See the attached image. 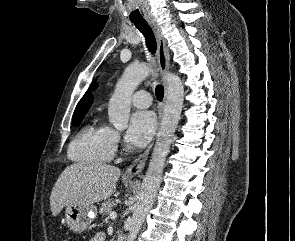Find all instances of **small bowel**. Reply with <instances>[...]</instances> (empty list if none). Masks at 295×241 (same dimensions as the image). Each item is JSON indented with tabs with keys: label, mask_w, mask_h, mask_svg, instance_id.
<instances>
[{
	"label": "small bowel",
	"mask_w": 295,
	"mask_h": 241,
	"mask_svg": "<svg viewBox=\"0 0 295 241\" xmlns=\"http://www.w3.org/2000/svg\"><path fill=\"white\" fill-rule=\"evenodd\" d=\"M90 241H104V234L102 232H97L93 235Z\"/></svg>",
	"instance_id": "1"
}]
</instances>
